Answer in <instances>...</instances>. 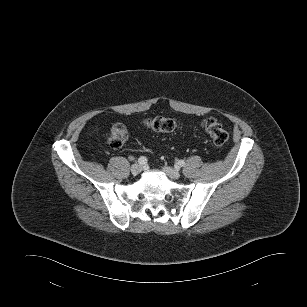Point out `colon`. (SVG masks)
<instances>
[{
  "label": "colon",
  "instance_id": "1",
  "mask_svg": "<svg viewBox=\"0 0 307 307\" xmlns=\"http://www.w3.org/2000/svg\"><path fill=\"white\" fill-rule=\"evenodd\" d=\"M146 127L155 132L169 133L178 129L177 121L167 117H151L144 121ZM201 127L217 146L227 143L229 135L227 130L215 119L207 118L201 122ZM129 132L124 124L116 123L112 126L108 134V143L114 149L121 148L127 141Z\"/></svg>",
  "mask_w": 307,
  "mask_h": 307
}]
</instances>
